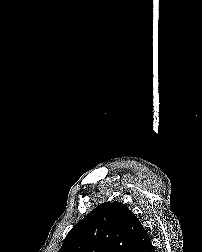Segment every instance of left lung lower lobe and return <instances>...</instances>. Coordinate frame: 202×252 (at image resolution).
Returning a JSON list of instances; mask_svg holds the SVG:
<instances>
[{"instance_id": "1", "label": "left lung lower lobe", "mask_w": 202, "mask_h": 252, "mask_svg": "<svg viewBox=\"0 0 202 252\" xmlns=\"http://www.w3.org/2000/svg\"><path fill=\"white\" fill-rule=\"evenodd\" d=\"M133 252H155L151 239L142 224L138 230L137 242Z\"/></svg>"}]
</instances>
